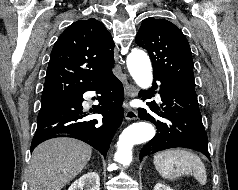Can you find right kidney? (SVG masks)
<instances>
[{
    "mask_svg": "<svg viewBox=\"0 0 238 190\" xmlns=\"http://www.w3.org/2000/svg\"><path fill=\"white\" fill-rule=\"evenodd\" d=\"M68 190H100V178L96 172H88L76 180Z\"/></svg>",
    "mask_w": 238,
    "mask_h": 190,
    "instance_id": "ca27d5eb",
    "label": "right kidney"
}]
</instances>
